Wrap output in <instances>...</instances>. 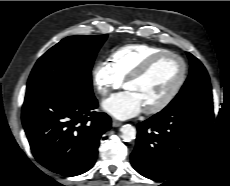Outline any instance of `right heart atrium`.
Here are the masks:
<instances>
[{"mask_svg": "<svg viewBox=\"0 0 230 186\" xmlns=\"http://www.w3.org/2000/svg\"><path fill=\"white\" fill-rule=\"evenodd\" d=\"M92 79L101 96H108L112 91L122 86V81L107 60H100L95 64L92 70Z\"/></svg>", "mask_w": 230, "mask_h": 186, "instance_id": "obj_1", "label": "right heart atrium"}]
</instances>
